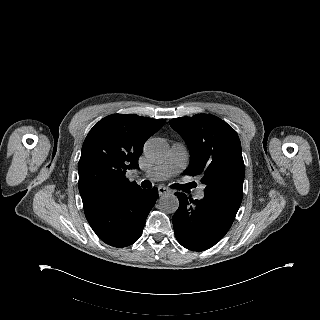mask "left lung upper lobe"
<instances>
[{"label":"left lung upper lobe","mask_w":320,"mask_h":320,"mask_svg":"<svg viewBox=\"0 0 320 320\" xmlns=\"http://www.w3.org/2000/svg\"><path fill=\"white\" fill-rule=\"evenodd\" d=\"M171 127L185 140L190 163L185 173L201 178L206 196L240 207L244 162L234 129L210 114L172 119Z\"/></svg>","instance_id":"1"}]
</instances>
